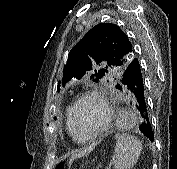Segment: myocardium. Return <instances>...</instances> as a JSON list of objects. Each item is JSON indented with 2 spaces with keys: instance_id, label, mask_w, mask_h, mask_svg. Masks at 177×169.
<instances>
[{
  "instance_id": "f54148a6",
  "label": "myocardium",
  "mask_w": 177,
  "mask_h": 169,
  "mask_svg": "<svg viewBox=\"0 0 177 169\" xmlns=\"http://www.w3.org/2000/svg\"><path fill=\"white\" fill-rule=\"evenodd\" d=\"M87 98H94L100 103V106L104 111V119L101 126L95 132L89 135L80 136L76 127V113L81 102ZM111 120H112V110L111 107L109 106V103L107 102L104 95L95 89H88L79 93L75 98L73 104L71 105L70 123L73 133L75 134L76 138L80 141H90L102 135L104 132L108 130Z\"/></svg>"
}]
</instances>
